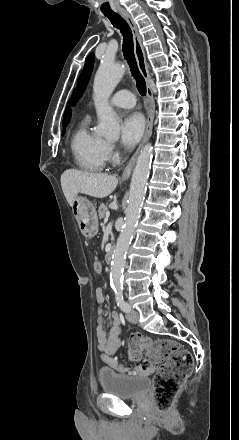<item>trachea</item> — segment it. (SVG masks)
<instances>
[{
	"mask_svg": "<svg viewBox=\"0 0 239 440\" xmlns=\"http://www.w3.org/2000/svg\"><path fill=\"white\" fill-rule=\"evenodd\" d=\"M104 15L111 21L114 27L120 30L123 36L122 52L124 54V58L128 62L132 76L136 80V85L140 95H146V82L141 75L136 63L134 55L133 35L130 26L128 25L126 20H124V18H122L118 13L113 12Z\"/></svg>",
	"mask_w": 239,
	"mask_h": 440,
	"instance_id": "1",
	"label": "trachea"
}]
</instances>
